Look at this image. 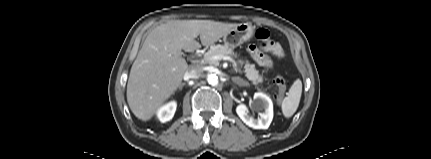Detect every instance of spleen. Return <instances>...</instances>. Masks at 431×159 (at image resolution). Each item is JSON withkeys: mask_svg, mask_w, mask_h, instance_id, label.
<instances>
[{"mask_svg": "<svg viewBox=\"0 0 431 159\" xmlns=\"http://www.w3.org/2000/svg\"><path fill=\"white\" fill-rule=\"evenodd\" d=\"M302 94V82L296 80L289 89L288 95L282 101V113L286 118H290L297 110Z\"/></svg>", "mask_w": 431, "mask_h": 159, "instance_id": "3e777b00", "label": "spleen"}]
</instances>
